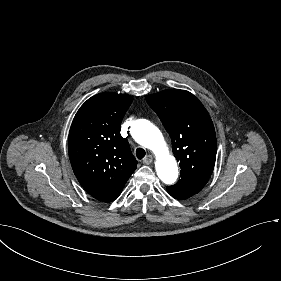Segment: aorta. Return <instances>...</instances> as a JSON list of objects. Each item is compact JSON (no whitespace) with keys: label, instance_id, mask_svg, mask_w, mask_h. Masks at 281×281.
Returning <instances> with one entry per match:
<instances>
[{"label":"aorta","instance_id":"1","mask_svg":"<svg viewBox=\"0 0 281 281\" xmlns=\"http://www.w3.org/2000/svg\"><path fill=\"white\" fill-rule=\"evenodd\" d=\"M134 139L156 156V172L165 184H173L178 177L175 158L170 155L161 131L150 121L140 119L132 126Z\"/></svg>","mask_w":281,"mask_h":281}]
</instances>
